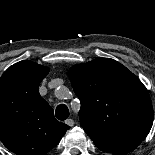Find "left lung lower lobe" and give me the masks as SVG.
I'll use <instances>...</instances> for the list:
<instances>
[{
  "label": "left lung lower lobe",
  "mask_w": 155,
  "mask_h": 155,
  "mask_svg": "<svg viewBox=\"0 0 155 155\" xmlns=\"http://www.w3.org/2000/svg\"><path fill=\"white\" fill-rule=\"evenodd\" d=\"M143 139L144 138L142 137H133L107 143H95V145L104 152L115 155H124L133 151L143 141Z\"/></svg>",
  "instance_id": "1"
}]
</instances>
